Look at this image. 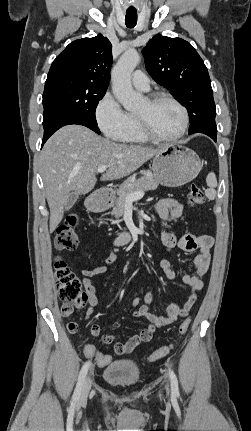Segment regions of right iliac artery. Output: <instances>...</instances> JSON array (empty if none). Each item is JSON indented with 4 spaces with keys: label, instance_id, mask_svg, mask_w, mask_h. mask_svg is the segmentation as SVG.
<instances>
[{
    "label": "right iliac artery",
    "instance_id": "obj_1",
    "mask_svg": "<svg viewBox=\"0 0 251 431\" xmlns=\"http://www.w3.org/2000/svg\"><path fill=\"white\" fill-rule=\"evenodd\" d=\"M90 364H91V362L87 361L83 365V367H82V369L80 371V374H79V377H78V382H77V385H76V388H75V391H74V394H73V400L74 401H77L79 399V397H80L82 386H83L85 377L87 375L88 369L90 367Z\"/></svg>",
    "mask_w": 251,
    "mask_h": 431
}]
</instances>
